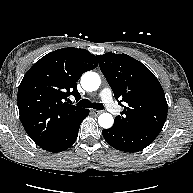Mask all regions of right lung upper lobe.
I'll return each mask as SVG.
<instances>
[{
  "label": "right lung upper lobe",
  "instance_id": "1",
  "mask_svg": "<svg viewBox=\"0 0 193 193\" xmlns=\"http://www.w3.org/2000/svg\"><path fill=\"white\" fill-rule=\"evenodd\" d=\"M98 66L85 49L62 48L38 60L18 88L20 121L33 141L44 147L56 139L85 109L65 102L80 96L77 81Z\"/></svg>",
  "mask_w": 193,
  "mask_h": 193
}]
</instances>
